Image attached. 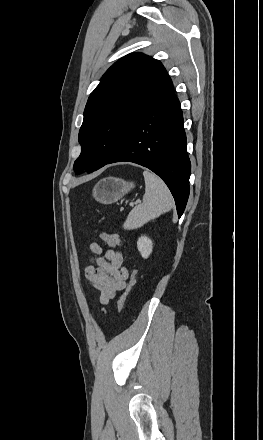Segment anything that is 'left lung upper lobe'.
I'll use <instances>...</instances> for the list:
<instances>
[{
    "label": "left lung upper lobe",
    "mask_w": 263,
    "mask_h": 440,
    "mask_svg": "<svg viewBox=\"0 0 263 440\" xmlns=\"http://www.w3.org/2000/svg\"><path fill=\"white\" fill-rule=\"evenodd\" d=\"M168 77L160 61L142 53L129 54L107 70L84 110L76 174L91 173L116 154L138 112Z\"/></svg>",
    "instance_id": "obj_1"
}]
</instances>
